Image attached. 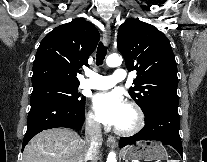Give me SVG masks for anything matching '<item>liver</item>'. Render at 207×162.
I'll return each mask as SVG.
<instances>
[{
  "instance_id": "obj_1",
  "label": "liver",
  "mask_w": 207,
  "mask_h": 162,
  "mask_svg": "<svg viewBox=\"0 0 207 162\" xmlns=\"http://www.w3.org/2000/svg\"><path fill=\"white\" fill-rule=\"evenodd\" d=\"M87 149V144L75 131L52 128L29 141L22 162H83Z\"/></svg>"
}]
</instances>
